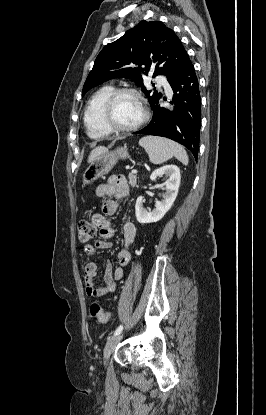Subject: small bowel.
Masks as SVG:
<instances>
[{"instance_id":"obj_1","label":"small bowel","mask_w":266,"mask_h":415,"mask_svg":"<svg viewBox=\"0 0 266 415\" xmlns=\"http://www.w3.org/2000/svg\"><path fill=\"white\" fill-rule=\"evenodd\" d=\"M129 193V186L126 178L123 175L111 177L106 183L100 184L96 188V195L98 197H114L117 200H124ZM119 205L115 200H107L102 204V213L94 214L92 217L93 223L99 231V235L103 238L94 244H87L83 251L85 255H92L96 249H107L112 244L107 241L115 234L113 227L109 221V217L117 214ZM124 246L118 253V266L113 267L110 262L106 263L103 284L96 286L94 278L97 274V265L94 262H88L84 267V284L86 295L90 298H98L109 293H114L117 290V282L122 279L124 275V267L130 261L129 246L134 241L136 236V227L129 220L125 219L123 224Z\"/></svg>"}]
</instances>
